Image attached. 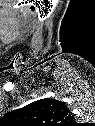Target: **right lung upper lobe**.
I'll use <instances>...</instances> for the list:
<instances>
[{
  "label": "right lung upper lobe",
  "mask_w": 95,
  "mask_h": 126,
  "mask_svg": "<svg viewBox=\"0 0 95 126\" xmlns=\"http://www.w3.org/2000/svg\"><path fill=\"white\" fill-rule=\"evenodd\" d=\"M6 118L16 126H73V115L59 100L44 98L9 112Z\"/></svg>",
  "instance_id": "cb5924a9"
}]
</instances>
